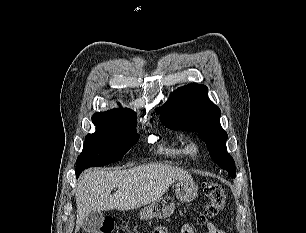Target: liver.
I'll use <instances>...</instances> for the list:
<instances>
[{
  "label": "liver",
  "mask_w": 306,
  "mask_h": 233,
  "mask_svg": "<svg viewBox=\"0 0 306 233\" xmlns=\"http://www.w3.org/2000/svg\"><path fill=\"white\" fill-rule=\"evenodd\" d=\"M191 178L185 170L156 163L128 170H88L76 188V232L92 211L133 210L161 198L175 181Z\"/></svg>",
  "instance_id": "liver-1"
}]
</instances>
